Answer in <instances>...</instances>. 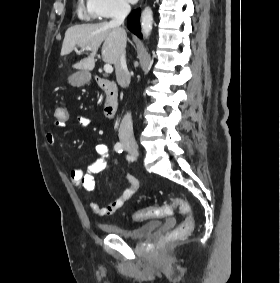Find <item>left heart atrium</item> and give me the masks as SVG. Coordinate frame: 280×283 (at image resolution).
I'll return each instance as SVG.
<instances>
[{
    "label": "left heart atrium",
    "instance_id": "obj_1",
    "mask_svg": "<svg viewBox=\"0 0 280 283\" xmlns=\"http://www.w3.org/2000/svg\"><path fill=\"white\" fill-rule=\"evenodd\" d=\"M130 3H136L138 0H128Z\"/></svg>",
    "mask_w": 280,
    "mask_h": 283
}]
</instances>
